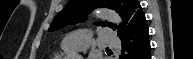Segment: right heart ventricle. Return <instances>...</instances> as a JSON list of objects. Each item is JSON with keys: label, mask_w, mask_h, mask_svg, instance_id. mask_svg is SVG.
<instances>
[{"label": "right heart ventricle", "mask_w": 193, "mask_h": 59, "mask_svg": "<svg viewBox=\"0 0 193 59\" xmlns=\"http://www.w3.org/2000/svg\"><path fill=\"white\" fill-rule=\"evenodd\" d=\"M71 51H65V50H61V52L59 54H56L55 56H53L52 59H64L65 56H67Z\"/></svg>", "instance_id": "right-heart-ventricle-1"}]
</instances>
